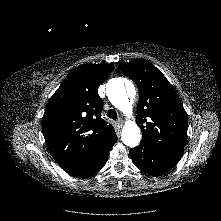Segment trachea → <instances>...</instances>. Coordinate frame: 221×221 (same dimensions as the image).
<instances>
[{"label":"trachea","instance_id":"obj_1","mask_svg":"<svg viewBox=\"0 0 221 221\" xmlns=\"http://www.w3.org/2000/svg\"><path fill=\"white\" fill-rule=\"evenodd\" d=\"M107 116H108L109 118L114 119V120L117 119V113H116V111H115L114 109H110V110L108 111V113H107Z\"/></svg>","mask_w":221,"mask_h":221}]
</instances>
